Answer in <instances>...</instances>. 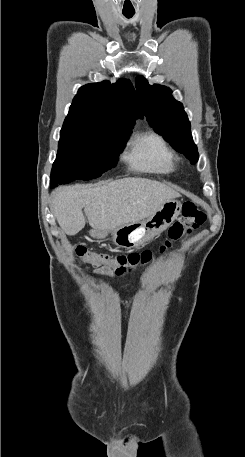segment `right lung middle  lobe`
I'll list each match as a JSON object with an SVG mask.
<instances>
[{"instance_id": "1", "label": "right lung middle lobe", "mask_w": 245, "mask_h": 457, "mask_svg": "<svg viewBox=\"0 0 245 457\" xmlns=\"http://www.w3.org/2000/svg\"><path fill=\"white\" fill-rule=\"evenodd\" d=\"M132 125L65 119L51 171V188L76 179L90 180L114 168Z\"/></svg>"}]
</instances>
